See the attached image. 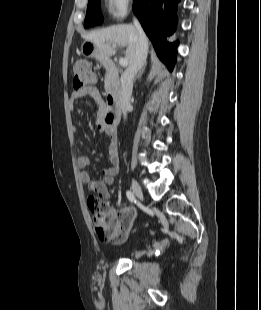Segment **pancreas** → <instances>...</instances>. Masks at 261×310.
Masks as SVG:
<instances>
[{"label": "pancreas", "instance_id": "pancreas-1", "mask_svg": "<svg viewBox=\"0 0 261 310\" xmlns=\"http://www.w3.org/2000/svg\"><path fill=\"white\" fill-rule=\"evenodd\" d=\"M114 79L110 76L109 73H106L105 76V90L106 92H110L111 91V86L113 84Z\"/></svg>", "mask_w": 261, "mask_h": 310}]
</instances>
